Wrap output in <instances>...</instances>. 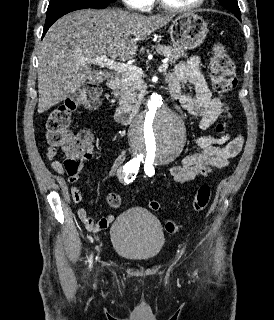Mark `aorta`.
<instances>
[{"label":"aorta","mask_w":274,"mask_h":320,"mask_svg":"<svg viewBox=\"0 0 274 320\" xmlns=\"http://www.w3.org/2000/svg\"><path fill=\"white\" fill-rule=\"evenodd\" d=\"M185 127L161 95L153 93L147 109L139 114L130 128V139L139 157L155 163L173 161L185 143Z\"/></svg>","instance_id":"aorta-1"}]
</instances>
